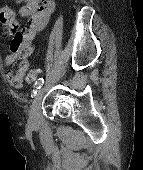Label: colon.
<instances>
[{"label":"colon","mask_w":143,"mask_h":170,"mask_svg":"<svg viewBox=\"0 0 143 170\" xmlns=\"http://www.w3.org/2000/svg\"><path fill=\"white\" fill-rule=\"evenodd\" d=\"M39 69L38 68H32L29 72H28V75L26 77V80L29 82V83H32L34 82L36 79H37V76L39 74Z\"/></svg>","instance_id":"5ec220e1"}]
</instances>
